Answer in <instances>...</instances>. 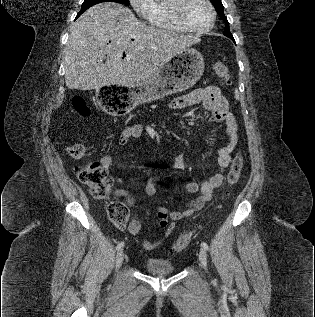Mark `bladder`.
Masks as SVG:
<instances>
[{
  "instance_id": "31cf9c89",
  "label": "bladder",
  "mask_w": 315,
  "mask_h": 317,
  "mask_svg": "<svg viewBox=\"0 0 315 317\" xmlns=\"http://www.w3.org/2000/svg\"><path fill=\"white\" fill-rule=\"evenodd\" d=\"M145 269L153 275L167 276L175 271L172 262L165 259L149 258L145 261Z\"/></svg>"
}]
</instances>
